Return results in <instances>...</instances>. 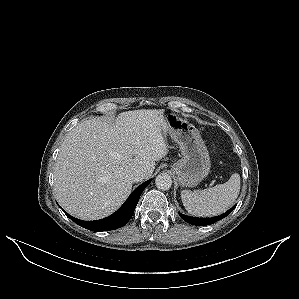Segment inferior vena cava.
Masks as SVG:
<instances>
[{
	"instance_id": "obj_1",
	"label": "inferior vena cava",
	"mask_w": 299,
	"mask_h": 299,
	"mask_svg": "<svg viewBox=\"0 0 299 299\" xmlns=\"http://www.w3.org/2000/svg\"><path fill=\"white\" fill-rule=\"evenodd\" d=\"M145 173L143 169H136L130 173V179L133 182H140L144 179Z\"/></svg>"
}]
</instances>
